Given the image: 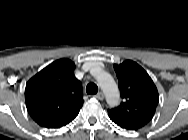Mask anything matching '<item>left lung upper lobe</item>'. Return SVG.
<instances>
[{
	"label": "left lung upper lobe",
	"mask_w": 188,
	"mask_h": 140,
	"mask_svg": "<svg viewBox=\"0 0 188 140\" xmlns=\"http://www.w3.org/2000/svg\"><path fill=\"white\" fill-rule=\"evenodd\" d=\"M119 79L122 103L108 110L110 119L118 126L137 130L154 116L159 96L156 86L146 71L133 61L114 65Z\"/></svg>",
	"instance_id": "obj_1"
}]
</instances>
